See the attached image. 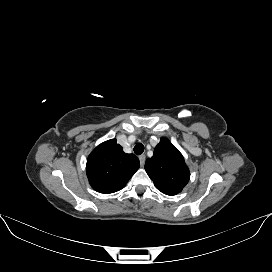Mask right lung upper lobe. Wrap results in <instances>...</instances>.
I'll list each match as a JSON object with an SVG mask.
<instances>
[{"label": "right lung upper lobe", "mask_w": 272, "mask_h": 272, "mask_svg": "<svg viewBox=\"0 0 272 272\" xmlns=\"http://www.w3.org/2000/svg\"><path fill=\"white\" fill-rule=\"evenodd\" d=\"M139 166L135 155L124 153L116 139H111L98 145L88 156L86 173L94 190L109 194L124 188Z\"/></svg>", "instance_id": "cb5924a9"}]
</instances>
